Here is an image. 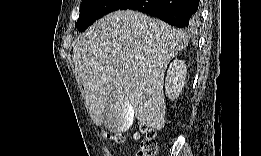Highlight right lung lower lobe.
Masks as SVG:
<instances>
[{
  "label": "right lung lower lobe",
  "mask_w": 261,
  "mask_h": 156,
  "mask_svg": "<svg viewBox=\"0 0 261 156\" xmlns=\"http://www.w3.org/2000/svg\"><path fill=\"white\" fill-rule=\"evenodd\" d=\"M118 9L137 10L170 25L191 28L195 26L199 17V0H128Z\"/></svg>",
  "instance_id": "98d812e1"
}]
</instances>
